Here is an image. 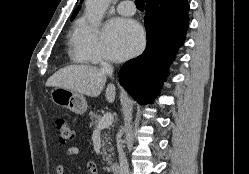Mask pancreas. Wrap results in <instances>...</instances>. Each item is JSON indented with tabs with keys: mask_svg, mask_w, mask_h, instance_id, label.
<instances>
[{
	"mask_svg": "<svg viewBox=\"0 0 249 174\" xmlns=\"http://www.w3.org/2000/svg\"><path fill=\"white\" fill-rule=\"evenodd\" d=\"M90 115V127H97L98 121L102 118L101 115L91 111L89 113ZM111 135L110 132L104 133L102 135V156H103V160L107 162L108 165H111L112 163V156L113 154H111V152H113L114 148L111 146ZM110 152V153H107Z\"/></svg>",
	"mask_w": 249,
	"mask_h": 174,
	"instance_id": "1",
	"label": "pancreas"
}]
</instances>
